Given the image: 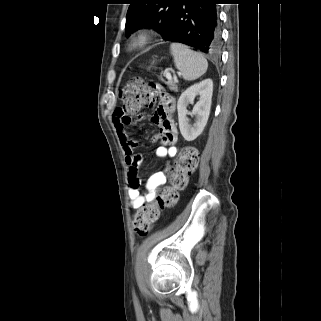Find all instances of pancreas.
<instances>
[{
	"label": "pancreas",
	"instance_id": "pancreas-1",
	"mask_svg": "<svg viewBox=\"0 0 321 321\" xmlns=\"http://www.w3.org/2000/svg\"><path fill=\"white\" fill-rule=\"evenodd\" d=\"M167 85L171 91L178 92V86L176 81H168Z\"/></svg>",
	"mask_w": 321,
	"mask_h": 321
}]
</instances>
